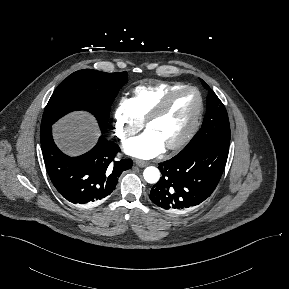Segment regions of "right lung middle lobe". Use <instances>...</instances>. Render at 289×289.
Listing matches in <instances>:
<instances>
[{"label": "right lung middle lobe", "instance_id": "1", "mask_svg": "<svg viewBox=\"0 0 289 289\" xmlns=\"http://www.w3.org/2000/svg\"><path fill=\"white\" fill-rule=\"evenodd\" d=\"M127 82V73L79 70L61 82L52 94L43 114L41 130L75 110L91 112L104 132L111 104Z\"/></svg>", "mask_w": 289, "mask_h": 289}]
</instances>
